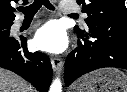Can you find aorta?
Segmentation results:
<instances>
[{
	"label": "aorta",
	"instance_id": "aorta-1",
	"mask_svg": "<svg viewBox=\"0 0 127 92\" xmlns=\"http://www.w3.org/2000/svg\"><path fill=\"white\" fill-rule=\"evenodd\" d=\"M49 92H62V83L59 78H56L52 82Z\"/></svg>",
	"mask_w": 127,
	"mask_h": 92
}]
</instances>
